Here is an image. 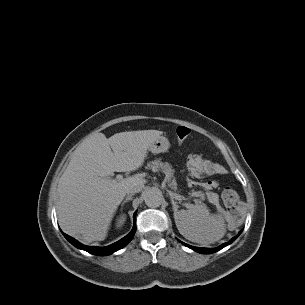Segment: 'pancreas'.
<instances>
[{
	"label": "pancreas",
	"instance_id": "obj_1",
	"mask_svg": "<svg viewBox=\"0 0 305 305\" xmlns=\"http://www.w3.org/2000/svg\"><path fill=\"white\" fill-rule=\"evenodd\" d=\"M147 169H151L154 172L162 171L169 182H171V186L175 187L176 182L174 179V170L172 169L171 165L168 162H162L161 159H155L154 161H150L147 163ZM200 199H205L204 193H198Z\"/></svg>",
	"mask_w": 305,
	"mask_h": 305
}]
</instances>
